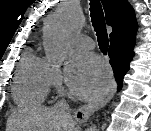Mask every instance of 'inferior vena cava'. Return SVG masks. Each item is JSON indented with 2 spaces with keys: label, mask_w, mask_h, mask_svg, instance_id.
<instances>
[{
  "label": "inferior vena cava",
  "mask_w": 151,
  "mask_h": 131,
  "mask_svg": "<svg viewBox=\"0 0 151 131\" xmlns=\"http://www.w3.org/2000/svg\"><path fill=\"white\" fill-rule=\"evenodd\" d=\"M55 107L61 109L64 112V116L65 119L67 120V122H69V124L74 128V122L70 116L69 113V106L68 104L65 102V100H60L55 104Z\"/></svg>",
  "instance_id": "inferior-vena-cava-1"
}]
</instances>
